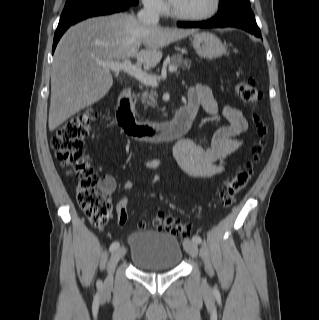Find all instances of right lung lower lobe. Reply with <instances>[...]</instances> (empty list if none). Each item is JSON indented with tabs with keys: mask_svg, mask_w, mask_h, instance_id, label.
I'll list each match as a JSON object with an SVG mask.
<instances>
[{
	"mask_svg": "<svg viewBox=\"0 0 319 320\" xmlns=\"http://www.w3.org/2000/svg\"><path fill=\"white\" fill-rule=\"evenodd\" d=\"M131 5H136L130 2H104L100 4H95L92 6H89L87 8L81 9L77 12H74L65 18H60L58 27L55 31L54 35V41H53V48H52V53L54 52L56 45L63 35V33L73 24L89 18L93 16H98V15H106V14H111L115 12H120L128 9Z\"/></svg>",
	"mask_w": 319,
	"mask_h": 320,
	"instance_id": "98d812e1",
	"label": "right lung lower lobe"
}]
</instances>
